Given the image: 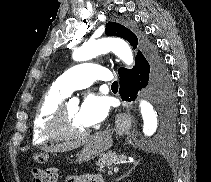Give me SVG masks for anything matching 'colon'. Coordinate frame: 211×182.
Instances as JSON below:
<instances>
[{
	"mask_svg": "<svg viewBox=\"0 0 211 182\" xmlns=\"http://www.w3.org/2000/svg\"><path fill=\"white\" fill-rule=\"evenodd\" d=\"M32 176L34 182H55L56 170L54 168L33 169Z\"/></svg>",
	"mask_w": 211,
	"mask_h": 182,
	"instance_id": "5ec220e1",
	"label": "colon"
}]
</instances>
